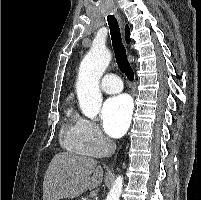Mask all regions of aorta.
Segmentation results:
<instances>
[{
    "label": "aorta",
    "mask_w": 201,
    "mask_h": 200,
    "mask_svg": "<svg viewBox=\"0 0 201 200\" xmlns=\"http://www.w3.org/2000/svg\"><path fill=\"white\" fill-rule=\"evenodd\" d=\"M111 60L110 52L104 44L94 42L83 58L76 84L77 97L82 113L94 119L102 106L99 81ZM123 187V177L117 176L106 200H119Z\"/></svg>",
    "instance_id": "aorta-1"
}]
</instances>
